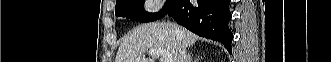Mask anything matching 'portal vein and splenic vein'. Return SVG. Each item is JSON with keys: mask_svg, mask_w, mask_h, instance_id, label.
<instances>
[{"mask_svg": "<svg viewBox=\"0 0 331 62\" xmlns=\"http://www.w3.org/2000/svg\"><path fill=\"white\" fill-rule=\"evenodd\" d=\"M149 55L154 56V55H160L163 57V62H173V58L170 55L169 51L164 49V48H156V49H151L149 51Z\"/></svg>", "mask_w": 331, "mask_h": 62, "instance_id": "1", "label": "portal vein and splenic vein"}]
</instances>
